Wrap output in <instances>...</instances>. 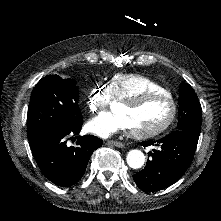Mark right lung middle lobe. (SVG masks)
I'll use <instances>...</instances> for the list:
<instances>
[{"label": "right lung middle lobe", "instance_id": "right-lung-middle-lobe-1", "mask_svg": "<svg viewBox=\"0 0 221 221\" xmlns=\"http://www.w3.org/2000/svg\"><path fill=\"white\" fill-rule=\"evenodd\" d=\"M81 121L74 79L48 75L36 84L28 106V138L44 131L70 129Z\"/></svg>", "mask_w": 221, "mask_h": 221}]
</instances>
